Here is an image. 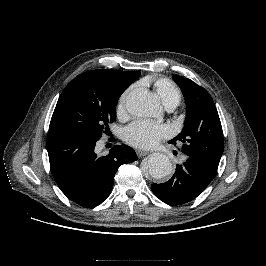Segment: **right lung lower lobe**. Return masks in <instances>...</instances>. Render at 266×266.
<instances>
[{
    "label": "right lung lower lobe",
    "mask_w": 266,
    "mask_h": 266,
    "mask_svg": "<svg viewBox=\"0 0 266 266\" xmlns=\"http://www.w3.org/2000/svg\"><path fill=\"white\" fill-rule=\"evenodd\" d=\"M98 140L68 132L51 131L47 151L52 175L61 191L83 207H96L111 193L115 173L122 164L137 160L132 148L115 145L99 157Z\"/></svg>",
    "instance_id": "1"
}]
</instances>
